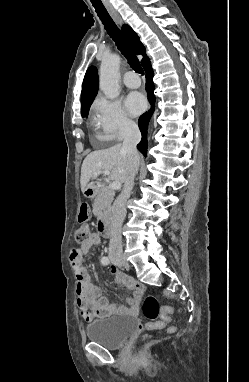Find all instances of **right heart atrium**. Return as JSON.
<instances>
[{
    "instance_id": "d8ad5b80",
    "label": "right heart atrium",
    "mask_w": 249,
    "mask_h": 382,
    "mask_svg": "<svg viewBox=\"0 0 249 382\" xmlns=\"http://www.w3.org/2000/svg\"><path fill=\"white\" fill-rule=\"evenodd\" d=\"M93 122L100 135L117 141L131 134L136 124L119 101L99 97L93 105Z\"/></svg>"
}]
</instances>
